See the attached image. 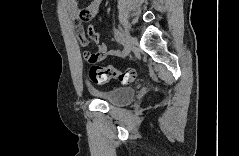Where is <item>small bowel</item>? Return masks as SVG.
<instances>
[{
    "mask_svg": "<svg viewBox=\"0 0 239 156\" xmlns=\"http://www.w3.org/2000/svg\"><path fill=\"white\" fill-rule=\"evenodd\" d=\"M66 6L68 11L73 15V25L75 29L76 37L78 38L80 44L83 47L88 45V39L86 34L82 28V21L79 19V14L82 10H80L77 4L74 1H66ZM101 5V0H92L89 4L83 9L87 11L90 15V19L95 18L99 12V8ZM87 34L91 40L97 43V51L96 52H86L85 58L91 64H95L97 62L103 61L107 56H117L119 55V51L117 50H109L107 45L104 43H99V34L96 31L95 27L90 25L87 29Z\"/></svg>",
    "mask_w": 239,
    "mask_h": 156,
    "instance_id": "obj_1",
    "label": "small bowel"
}]
</instances>
